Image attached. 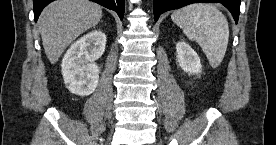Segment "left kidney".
Listing matches in <instances>:
<instances>
[{
	"label": "left kidney",
	"mask_w": 276,
	"mask_h": 145,
	"mask_svg": "<svg viewBox=\"0 0 276 145\" xmlns=\"http://www.w3.org/2000/svg\"><path fill=\"white\" fill-rule=\"evenodd\" d=\"M177 61L181 69L189 74H197L202 70L197 53L184 41L176 44Z\"/></svg>",
	"instance_id": "obj_1"
}]
</instances>
